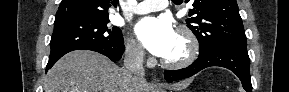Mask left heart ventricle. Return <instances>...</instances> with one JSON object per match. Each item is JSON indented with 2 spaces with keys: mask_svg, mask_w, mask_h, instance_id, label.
<instances>
[{
  "mask_svg": "<svg viewBox=\"0 0 289 92\" xmlns=\"http://www.w3.org/2000/svg\"><path fill=\"white\" fill-rule=\"evenodd\" d=\"M186 53H187V44L184 41V39L177 34L174 45L169 54L165 57V59L178 60L184 57Z\"/></svg>",
  "mask_w": 289,
  "mask_h": 92,
  "instance_id": "obj_1",
  "label": "left heart ventricle"
}]
</instances>
